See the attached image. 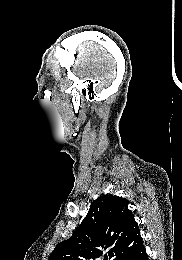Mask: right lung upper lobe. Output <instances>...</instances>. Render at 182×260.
Segmentation results:
<instances>
[{
    "instance_id": "1",
    "label": "right lung upper lobe",
    "mask_w": 182,
    "mask_h": 260,
    "mask_svg": "<svg viewBox=\"0 0 182 260\" xmlns=\"http://www.w3.org/2000/svg\"><path fill=\"white\" fill-rule=\"evenodd\" d=\"M127 200L111 194L100 196L72 236L60 242L49 260H89L108 250L110 260H117L142 238Z\"/></svg>"
}]
</instances>
